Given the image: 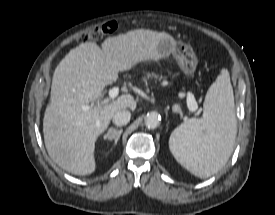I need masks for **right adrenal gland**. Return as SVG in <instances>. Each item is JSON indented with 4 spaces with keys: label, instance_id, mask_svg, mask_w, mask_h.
<instances>
[{
    "label": "right adrenal gland",
    "instance_id": "2a0ac1e0",
    "mask_svg": "<svg viewBox=\"0 0 275 215\" xmlns=\"http://www.w3.org/2000/svg\"><path fill=\"white\" fill-rule=\"evenodd\" d=\"M123 132V129H120V130H117V129H114V128H110L107 132L106 135H104V139L105 140H110L112 141L114 139V145L117 144L121 134Z\"/></svg>",
    "mask_w": 275,
    "mask_h": 215
}]
</instances>
